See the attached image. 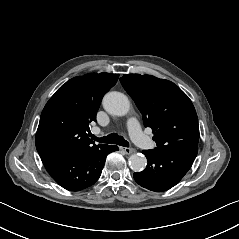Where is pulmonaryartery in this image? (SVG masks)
<instances>
[{
  "label": "pulmonary artery",
  "instance_id": "obj_1",
  "mask_svg": "<svg viewBox=\"0 0 239 239\" xmlns=\"http://www.w3.org/2000/svg\"><path fill=\"white\" fill-rule=\"evenodd\" d=\"M128 131H129V136H130L131 140L138 145H140V142L142 141V139L147 137L143 134L139 123L135 119L129 120ZM99 132H100V130L98 128H96V127L92 128L93 134H98Z\"/></svg>",
  "mask_w": 239,
  "mask_h": 239
}]
</instances>
